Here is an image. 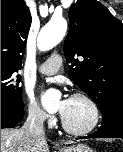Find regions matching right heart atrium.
<instances>
[{"label":"right heart atrium","mask_w":123,"mask_h":152,"mask_svg":"<svg viewBox=\"0 0 123 152\" xmlns=\"http://www.w3.org/2000/svg\"><path fill=\"white\" fill-rule=\"evenodd\" d=\"M25 108L29 119L35 123L46 124L53 121L52 117L30 98L26 100Z\"/></svg>","instance_id":"d8ad5b80"}]
</instances>
